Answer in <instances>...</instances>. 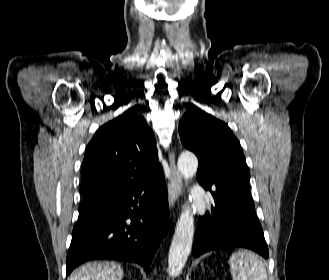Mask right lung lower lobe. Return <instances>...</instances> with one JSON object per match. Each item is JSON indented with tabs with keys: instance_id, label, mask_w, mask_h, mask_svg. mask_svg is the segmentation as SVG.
I'll use <instances>...</instances> for the list:
<instances>
[{
	"instance_id": "1",
	"label": "right lung lower lobe",
	"mask_w": 329,
	"mask_h": 280,
	"mask_svg": "<svg viewBox=\"0 0 329 280\" xmlns=\"http://www.w3.org/2000/svg\"><path fill=\"white\" fill-rule=\"evenodd\" d=\"M168 226L163 173L144 182L102 188L85 197L79 207L66 274L93 259L135 262L148 272Z\"/></svg>"
}]
</instances>
